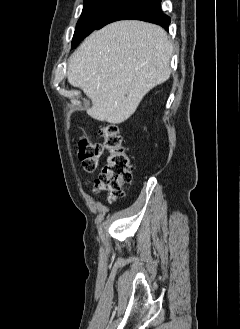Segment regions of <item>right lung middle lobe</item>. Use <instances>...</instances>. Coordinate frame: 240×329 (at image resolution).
<instances>
[{"instance_id": "1", "label": "right lung middle lobe", "mask_w": 240, "mask_h": 329, "mask_svg": "<svg viewBox=\"0 0 240 329\" xmlns=\"http://www.w3.org/2000/svg\"><path fill=\"white\" fill-rule=\"evenodd\" d=\"M120 0H84V7L74 32L72 47L95 30L97 24Z\"/></svg>"}]
</instances>
